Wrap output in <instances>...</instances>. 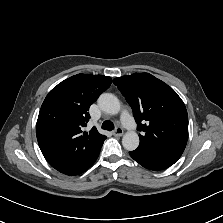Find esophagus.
I'll list each match as a JSON object with an SVG mask.
<instances>
[{
    "instance_id": "obj_1",
    "label": "esophagus",
    "mask_w": 223,
    "mask_h": 223,
    "mask_svg": "<svg viewBox=\"0 0 223 223\" xmlns=\"http://www.w3.org/2000/svg\"><path fill=\"white\" fill-rule=\"evenodd\" d=\"M123 129L121 128V127H117L113 132H112V134L114 135V136H122L123 135Z\"/></svg>"
}]
</instances>
